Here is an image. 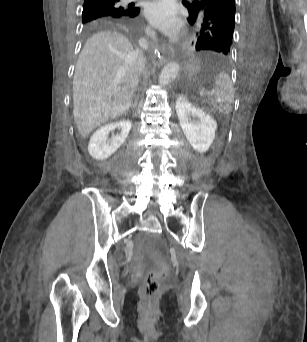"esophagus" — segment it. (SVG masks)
Returning a JSON list of instances; mask_svg holds the SVG:
<instances>
[{
    "label": "esophagus",
    "instance_id": "esophagus-1",
    "mask_svg": "<svg viewBox=\"0 0 307 342\" xmlns=\"http://www.w3.org/2000/svg\"><path fill=\"white\" fill-rule=\"evenodd\" d=\"M156 48L162 54L164 61H170L174 58L175 52L173 48L161 45H157Z\"/></svg>",
    "mask_w": 307,
    "mask_h": 342
}]
</instances>
